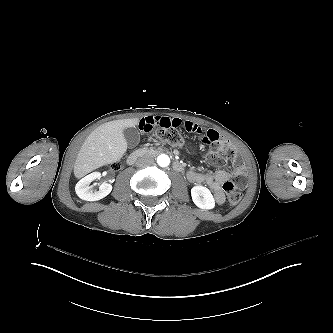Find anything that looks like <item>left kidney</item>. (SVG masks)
<instances>
[{"label":"left kidney","mask_w":333,"mask_h":333,"mask_svg":"<svg viewBox=\"0 0 333 333\" xmlns=\"http://www.w3.org/2000/svg\"><path fill=\"white\" fill-rule=\"evenodd\" d=\"M191 198L193 203L203 210H212L215 208V198L209 188L196 185L191 189Z\"/></svg>","instance_id":"1"}]
</instances>
